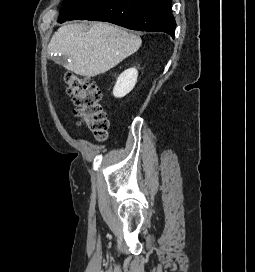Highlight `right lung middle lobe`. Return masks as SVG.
I'll return each mask as SVG.
<instances>
[{
    "label": "right lung middle lobe",
    "mask_w": 255,
    "mask_h": 272,
    "mask_svg": "<svg viewBox=\"0 0 255 272\" xmlns=\"http://www.w3.org/2000/svg\"><path fill=\"white\" fill-rule=\"evenodd\" d=\"M89 1L90 0H64L58 21L60 23L64 22L69 16H71Z\"/></svg>",
    "instance_id": "obj_1"
}]
</instances>
